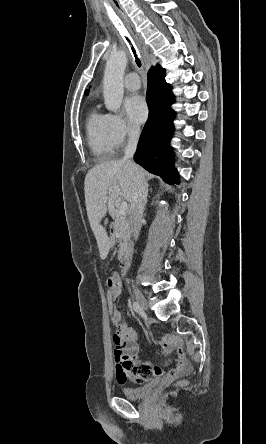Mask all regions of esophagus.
Instances as JSON below:
<instances>
[{
    "instance_id": "esophagus-1",
    "label": "esophagus",
    "mask_w": 266,
    "mask_h": 444,
    "mask_svg": "<svg viewBox=\"0 0 266 444\" xmlns=\"http://www.w3.org/2000/svg\"><path fill=\"white\" fill-rule=\"evenodd\" d=\"M114 6H115L118 14L124 20L127 28L129 29V31L131 32V34L135 38L136 42L138 43V45H139V47L141 49L142 55H143V64L148 69L149 68V64H148V61H147V58H146V50H145V48H144V46L142 44V41H141L140 37L138 36V34L135 33L134 27H133L131 21L129 20V18L127 17V15L125 14V12L122 9V7L119 4H117V3H115Z\"/></svg>"
}]
</instances>
